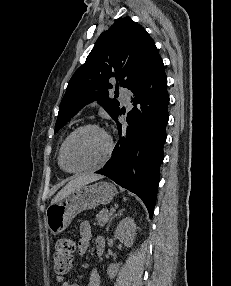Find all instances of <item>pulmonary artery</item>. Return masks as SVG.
Instances as JSON below:
<instances>
[{
	"label": "pulmonary artery",
	"mask_w": 231,
	"mask_h": 286,
	"mask_svg": "<svg viewBox=\"0 0 231 286\" xmlns=\"http://www.w3.org/2000/svg\"><path fill=\"white\" fill-rule=\"evenodd\" d=\"M120 95L125 104L129 103L130 100V91L127 88H120Z\"/></svg>",
	"instance_id": "e3ab8cb5"
}]
</instances>
